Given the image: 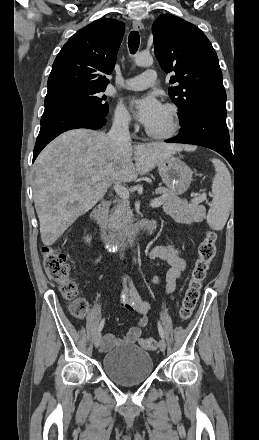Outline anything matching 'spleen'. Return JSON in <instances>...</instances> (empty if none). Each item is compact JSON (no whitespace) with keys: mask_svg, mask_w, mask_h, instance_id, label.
I'll return each mask as SVG.
<instances>
[{"mask_svg":"<svg viewBox=\"0 0 259 440\" xmlns=\"http://www.w3.org/2000/svg\"><path fill=\"white\" fill-rule=\"evenodd\" d=\"M216 174L212 182L213 200L207 214L208 225L216 230H222L233 206V187L231 175L225 164L213 158Z\"/></svg>","mask_w":259,"mask_h":440,"instance_id":"obj_1","label":"spleen"}]
</instances>
